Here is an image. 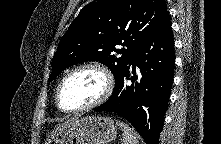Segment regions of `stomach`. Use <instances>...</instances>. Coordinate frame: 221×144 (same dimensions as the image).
Instances as JSON below:
<instances>
[{
	"mask_svg": "<svg viewBox=\"0 0 221 144\" xmlns=\"http://www.w3.org/2000/svg\"><path fill=\"white\" fill-rule=\"evenodd\" d=\"M116 135L117 127L109 117H77L48 137L46 144H108Z\"/></svg>",
	"mask_w": 221,
	"mask_h": 144,
	"instance_id": "stomach-1",
	"label": "stomach"
}]
</instances>
